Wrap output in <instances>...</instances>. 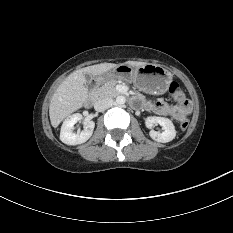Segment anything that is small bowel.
Masks as SVG:
<instances>
[{"instance_id": "small-bowel-1", "label": "small bowel", "mask_w": 233, "mask_h": 233, "mask_svg": "<svg viewBox=\"0 0 233 233\" xmlns=\"http://www.w3.org/2000/svg\"><path fill=\"white\" fill-rule=\"evenodd\" d=\"M145 107L158 115L170 116L178 121L185 118L190 112V104L188 102L178 106H171L164 101H147L145 102Z\"/></svg>"}]
</instances>
